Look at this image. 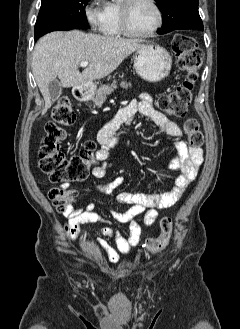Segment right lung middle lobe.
Instances as JSON below:
<instances>
[{"instance_id":"1","label":"right lung middle lobe","mask_w":240,"mask_h":329,"mask_svg":"<svg viewBox=\"0 0 240 329\" xmlns=\"http://www.w3.org/2000/svg\"><path fill=\"white\" fill-rule=\"evenodd\" d=\"M35 40L55 30L88 28L85 6L89 0H41Z\"/></svg>"}]
</instances>
